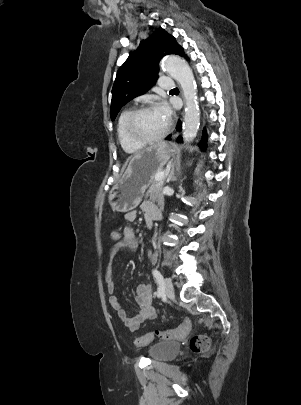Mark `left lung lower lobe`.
I'll use <instances>...</instances> for the list:
<instances>
[{
	"label": "left lung lower lobe",
	"instance_id": "left-lung-lower-lobe-1",
	"mask_svg": "<svg viewBox=\"0 0 301 405\" xmlns=\"http://www.w3.org/2000/svg\"><path fill=\"white\" fill-rule=\"evenodd\" d=\"M187 59H188V58H187ZM180 128H181V122L179 121L178 124H177V130H180ZM166 139H167V140H170L171 138H170V136H168ZM206 139H207V133H206L205 130H204V131H203L202 139H201V141H200V143H199V146L204 147V149H205V147H206V142H207ZM177 141H178V142H182V138H181V137H178V138H177Z\"/></svg>",
	"mask_w": 301,
	"mask_h": 405
}]
</instances>
